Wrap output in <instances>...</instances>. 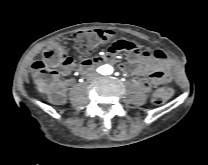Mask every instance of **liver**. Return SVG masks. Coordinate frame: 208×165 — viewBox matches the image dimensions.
I'll return each instance as SVG.
<instances>
[{"mask_svg":"<svg viewBox=\"0 0 208 165\" xmlns=\"http://www.w3.org/2000/svg\"><path fill=\"white\" fill-rule=\"evenodd\" d=\"M36 84H37L38 91L40 93H46L47 92V87H46V84H45V82L43 80L38 79L36 81Z\"/></svg>","mask_w":208,"mask_h":165,"instance_id":"obj_1","label":"liver"}]
</instances>
